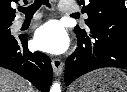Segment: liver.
<instances>
[{
	"mask_svg": "<svg viewBox=\"0 0 127 92\" xmlns=\"http://www.w3.org/2000/svg\"><path fill=\"white\" fill-rule=\"evenodd\" d=\"M0 92H34L23 77L0 67Z\"/></svg>",
	"mask_w": 127,
	"mask_h": 92,
	"instance_id": "obj_1",
	"label": "liver"
}]
</instances>
